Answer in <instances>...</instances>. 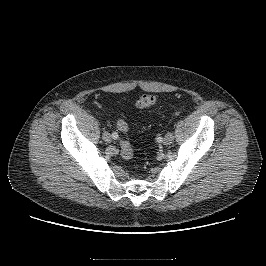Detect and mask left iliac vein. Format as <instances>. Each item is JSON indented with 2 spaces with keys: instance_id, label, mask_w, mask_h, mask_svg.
I'll return each instance as SVG.
<instances>
[{
  "instance_id": "4c4485c4",
  "label": "left iliac vein",
  "mask_w": 266,
  "mask_h": 266,
  "mask_svg": "<svg viewBox=\"0 0 266 266\" xmlns=\"http://www.w3.org/2000/svg\"><path fill=\"white\" fill-rule=\"evenodd\" d=\"M163 140H164L163 143L165 145H170L173 142V140H174L173 133L168 132Z\"/></svg>"
}]
</instances>
